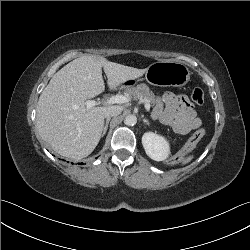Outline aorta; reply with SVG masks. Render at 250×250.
Returning a JSON list of instances; mask_svg holds the SVG:
<instances>
[{
	"instance_id": "obj_1",
	"label": "aorta",
	"mask_w": 250,
	"mask_h": 250,
	"mask_svg": "<svg viewBox=\"0 0 250 250\" xmlns=\"http://www.w3.org/2000/svg\"><path fill=\"white\" fill-rule=\"evenodd\" d=\"M124 123L127 126H134L137 123V118L135 115H128L126 116Z\"/></svg>"
}]
</instances>
